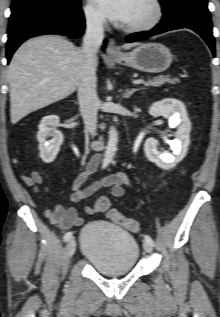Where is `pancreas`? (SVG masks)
<instances>
[{
	"label": "pancreas",
	"mask_w": 220,
	"mask_h": 317,
	"mask_svg": "<svg viewBox=\"0 0 220 317\" xmlns=\"http://www.w3.org/2000/svg\"><path fill=\"white\" fill-rule=\"evenodd\" d=\"M178 82H179L178 78H170V76H159V77H155L153 80H149L145 82L144 85L159 87L165 83L175 84Z\"/></svg>",
	"instance_id": "pancreas-1"
}]
</instances>
